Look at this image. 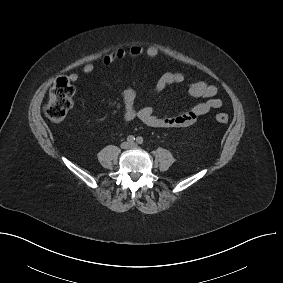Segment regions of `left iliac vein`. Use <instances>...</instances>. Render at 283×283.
I'll return each mask as SVG.
<instances>
[{"instance_id":"left-iliac-vein-1","label":"left iliac vein","mask_w":283,"mask_h":283,"mask_svg":"<svg viewBox=\"0 0 283 283\" xmlns=\"http://www.w3.org/2000/svg\"><path fill=\"white\" fill-rule=\"evenodd\" d=\"M129 147H130V148H133V149L138 148L137 144H135V143H132Z\"/></svg>"}]
</instances>
